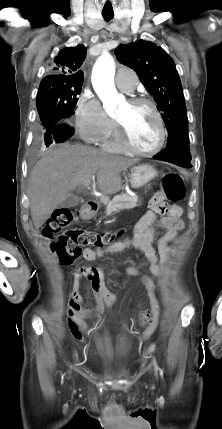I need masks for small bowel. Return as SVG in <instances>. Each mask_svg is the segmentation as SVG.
Masks as SVG:
<instances>
[{
  "mask_svg": "<svg viewBox=\"0 0 222 429\" xmlns=\"http://www.w3.org/2000/svg\"><path fill=\"white\" fill-rule=\"evenodd\" d=\"M183 210L179 205H168L164 202L161 192L157 193L150 201L148 210L139 220L135 227L132 239L119 241L111 244L105 249L83 250V258L86 262H92L107 253H119L123 250L134 247L143 252L150 266L151 276H142L141 281L147 288L151 297L154 296L155 279L162 273V265L167 262L171 254L168 244L175 242L179 238V232L183 229ZM158 230L164 233L156 241V249L153 246ZM124 272L130 276H139L140 272L135 266L124 267ZM81 277L90 280L92 291L95 297L96 306L92 310L82 309V298L78 293V285ZM116 301L114 294L107 288L105 282V268L93 267L89 264L79 267L74 273V292L69 302L68 324L71 333L76 339L83 340L87 333V326L84 319L97 317L110 308ZM155 331V326H150L139 337L138 342L149 339Z\"/></svg>",
  "mask_w": 222,
  "mask_h": 429,
  "instance_id": "1",
  "label": "small bowel"
}]
</instances>
